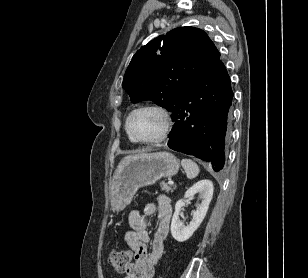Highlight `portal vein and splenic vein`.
<instances>
[{"label": "portal vein and splenic vein", "instance_id": "obj_1", "mask_svg": "<svg viewBox=\"0 0 308 278\" xmlns=\"http://www.w3.org/2000/svg\"><path fill=\"white\" fill-rule=\"evenodd\" d=\"M168 183H169L170 185H173V184H174V182H173V181H171V180H170Z\"/></svg>", "mask_w": 308, "mask_h": 278}]
</instances>
